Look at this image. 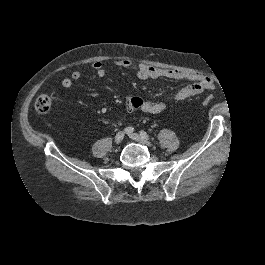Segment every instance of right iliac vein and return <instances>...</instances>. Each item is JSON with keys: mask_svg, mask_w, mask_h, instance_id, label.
Returning <instances> with one entry per match:
<instances>
[{"mask_svg": "<svg viewBox=\"0 0 265 265\" xmlns=\"http://www.w3.org/2000/svg\"><path fill=\"white\" fill-rule=\"evenodd\" d=\"M123 139H124V133L120 131L115 135L114 141L115 143L119 144L122 142Z\"/></svg>", "mask_w": 265, "mask_h": 265, "instance_id": "63e3f726", "label": "right iliac vein"}]
</instances>
